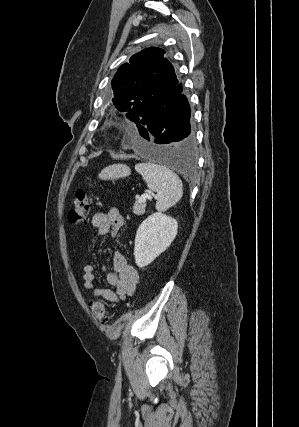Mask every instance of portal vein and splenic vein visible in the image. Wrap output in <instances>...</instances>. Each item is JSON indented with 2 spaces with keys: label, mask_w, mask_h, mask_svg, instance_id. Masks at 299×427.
Listing matches in <instances>:
<instances>
[{
  "label": "portal vein and splenic vein",
  "mask_w": 299,
  "mask_h": 427,
  "mask_svg": "<svg viewBox=\"0 0 299 427\" xmlns=\"http://www.w3.org/2000/svg\"><path fill=\"white\" fill-rule=\"evenodd\" d=\"M151 198H152V196H151L150 194H145V195H143V196L140 198V200H141V201H143V202H145V201H146V199H151ZM154 198H155V199H158V198H159V195L157 194Z\"/></svg>",
  "instance_id": "18ae733b"
}]
</instances>
